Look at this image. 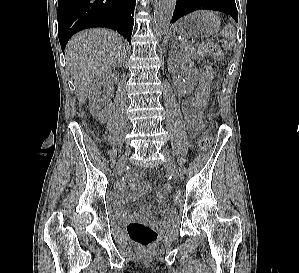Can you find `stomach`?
Wrapping results in <instances>:
<instances>
[{"instance_id":"stomach-1","label":"stomach","mask_w":299,"mask_h":273,"mask_svg":"<svg viewBox=\"0 0 299 273\" xmlns=\"http://www.w3.org/2000/svg\"><path fill=\"white\" fill-rule=\"evenodd\" d=\"M218 29L203 12H195L182 18L176 26V31L180 36L192 39L207 38L214 35Z\"/></svg>"}]
</instances>
